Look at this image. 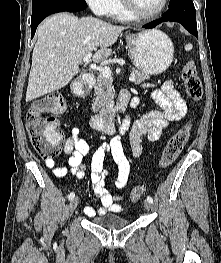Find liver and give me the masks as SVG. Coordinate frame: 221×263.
Here are the masks:
<instances>
[{"label": "liver", "mask_w": 221, "mask_h": 263, "mask_svg": "<svg viewBox=\"0 0 221 263\" xmlns=\"http://www.w3.org/2000/svg\"><path fill=\"white\" fill-rule=\"evenodd\" d=\"M125 29L98 18H78L69 13L47 18L37 29L26 101L66 86L79 72L87 53L94 52V62L105 61L111 55L110 47Z\"/></svg>", "instance_id": "liver-1"}]
</instances>
